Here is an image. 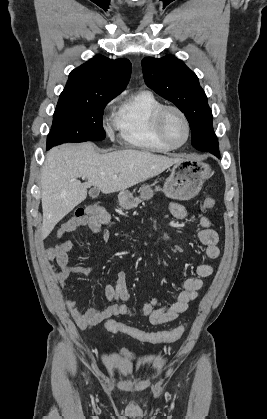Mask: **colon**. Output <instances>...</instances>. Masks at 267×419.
Listing matches in <instances>:
<instances>
[{
  "label": "colon",
  "mask_w": 267,
  "mask_h": 419,
  "mask_svg": "<svg viewBox=\"0 0 267 419\" xmlns=\"http://www.w3.org/2000/svg\"><path fill=\"white\" fill-rule=\"evenodd\" d=\"M215 205V200L212 197H208L204 200L203 207L205 209H211ZM77 217H92L95 218L103 225L111 223V217L109 213L101 206L90 205L85 208H81L76 213ZM106 329L113 333H122L135 338L142 342L149 343H170L177 341L181 338L185 331V326L181 325L171 331L148 333L138 328L131 327L122 324L116 320H108L105 323Z\"/></svg>",
  "instance_id": "colon-1"
}]
</instances>
